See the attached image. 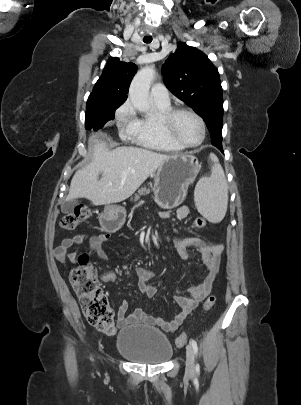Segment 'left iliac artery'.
Listing matches in <instances>:
<instances>
[{"label":"left iliac artery","instance_id":"obj_1","mask_svg":"<svg viewBox=\"0 0 301 405\" xmlns=\"http://www.w3.org/2000/svg\"><path fill=\"white\" fill-rule=\"evenodd\" d=\"M190 343H191V345H192V347H193V350H194L195 354L197 355V353H198V346H197L196 341H195L194 339H191ZM196 369H199V366H198V365L196 366Z\"/></svg>","mask_w":301,"mask_h":405}]
</instances>
